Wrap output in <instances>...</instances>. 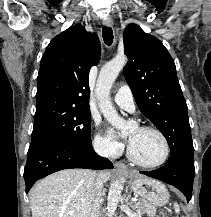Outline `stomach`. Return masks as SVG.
I'll return each instance as SVG.
<instances>
[{"instance_id":"0dacf381","label":"stomach","mask_w":211,"mask_h":217,"mask_svg":"<svg viewBox=\"0 0 211 217\" xmlns=\"http://www.w3.org/2000/svg\"><path fill=\"white\" fill-rule=\"evenodd\" d=\"M131 190L154 206H163L169 200V192L165 185L153 178L137 173L126 174Z\"/></svg>"}]
</instances>
